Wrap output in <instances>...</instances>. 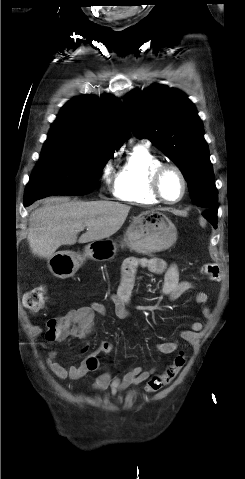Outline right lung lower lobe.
<instances>
[{
    "instance_id": "1",
    "label": "right lung lower lobe",
    "mask_w": 245,
    "mask_h": 479,
    "mask_svg": "<svg viewBox=\"0 0 245 479\" xmlns=\"http://www.w3.org/2000/svg\"><path fill=\"white\" fill-rule=\"evenodd\" d=\"M37 199L24 200V206L27 207L35 202Z\"/></svg>"
}]
</instances>
